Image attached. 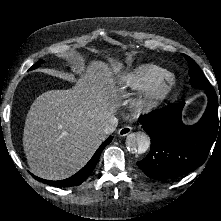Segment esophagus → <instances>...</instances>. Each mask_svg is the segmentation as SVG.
<instances>
[{"instance_id":"34e87169","label":"esophagus","mask_w":221,"mask_h":221,"mask_svg":"<svg viewBox=\"0 0 221 221\" xmlns=\"http://www.w3.org/2000/svg\"><path fill=\"white\" fill-rule=\"evenodd\" d=\"M131 132H132V128L130 126L126 125V126H123L122 128L119 129L118 135L120 137H124V136L130 134Z\"/></svg>"}]
</instances>
